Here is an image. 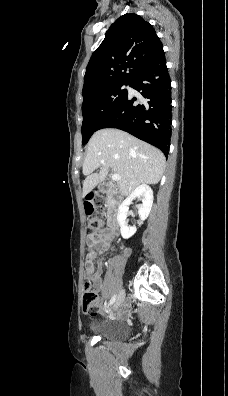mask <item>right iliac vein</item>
Segmentation results:
<instances>
[{"label": "right iliac vein", "instance_id": "63e3f726", "mask_svg": "<svg viewBox=\"0 0 228 396\" xmlns=\"http://www.w3.org/2000/svg\"><path fill=\"white\" fill-rule=\"evenodd\" d=\"M124 299H125V291L121 290L116 298L114 309H117L123 303Z\"/></svg>", "mask_w": 228, "mask_h": 396}]
</instances>
